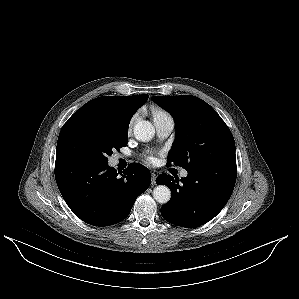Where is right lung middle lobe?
Instances as JSON below:
<instances>
[{
  "mask_svg": "<svg viewBox=\"0 0 299 299\" xmlns=\"http://www.w3.org/2000/svg\"><path fill=\"white\" fill-rule=\"evenodd\" d=\"M128 125L94 114L72 115L59 134L56 157L107 163L113 150L127 145Z\"/></svg>",
  "mask_w": 299,
  "mask_h": 299,
  "instance_id": "1",
  "label": "right lung middle lobe"
}]
</instances>
